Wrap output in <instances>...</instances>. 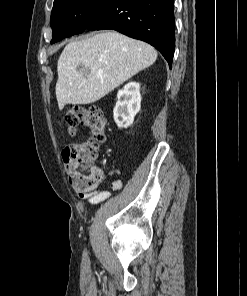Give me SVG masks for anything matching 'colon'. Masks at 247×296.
<instances>
[{"label":"colon","mask_w":247,"mask_h":296,"mask_svg":"<svg viewBox=\"0 0 247 296\" xmlns=\"http://www.w3.org/2000/svg\"><path fill=\"white\" fill-rule=\"evenodd\" d=\"M65 120L71 133H75L79 126L91 131L89 139L69 144L63 150V160L72 186L80 192L93 190L103 179V171L95 164V160L100 145L106 139L105 116L97 107L76 105L69 109Z\"/></svg>","instance_id":"obj_1"}]
</instances>
